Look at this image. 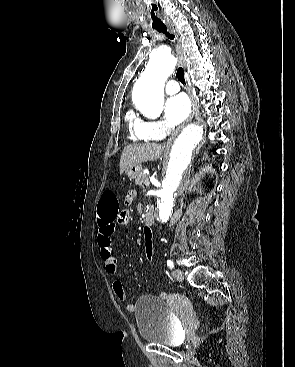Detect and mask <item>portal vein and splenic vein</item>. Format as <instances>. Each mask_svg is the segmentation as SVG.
<instances>
[{"label": "portal vein and splenic vein", "mask_w": 295, "mask_h": 367, "mask_svg": "<svg viewBox=\"0 0 295 367\" xmlns=\"http://www.w3.org/2000/svg\"><path fill=\"white\" fill-rule=\"evenodd\" d=\"M145 185H146V186H149V185H150V181H149V179H147V180L145 181Z\"/></svg>", "instance_id": "1"}]
</instances>
